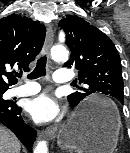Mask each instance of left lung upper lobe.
<instances>
[{"instance_id":"1","label":"left lung upper lobe","mask_w":130,"mask_h":153,"mask_svg":"<svg viewBox=\"0 0 130 153\" xmlns=\"http://www.w3.org/2000/svg\"><path fill=\"white\" fill-rule=\"evenodd\" d=\"M59 26L71 50L64 67L77 69L79 83L84 85L68 96L69 103L77 106L92 93L110 95L123 103L120 56L111 39L79 16L69 15L59 22Z\"/></svg>"}]
</instances>
